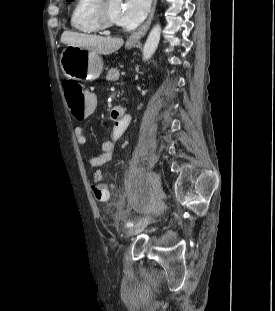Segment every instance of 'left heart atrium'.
Wrapping results in <instances>:
<instances>
[{"mask_svg": "<svg viewBox=\"0 0 275 311\" xmlns=\"http://www.w3.org/2000/svg\"><path fill=\"white\" fill-rule=\"evenodd\" d=\"M150 0H125L118 15V23L126 28H134L146 17Z\"/></svg>", "mask_w": 275, "mask_h": 311, "instance_id": "obj_1", "label": "left heart atrium"}]
</instances>
